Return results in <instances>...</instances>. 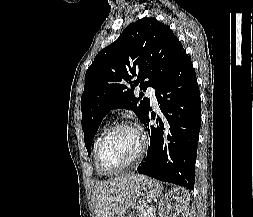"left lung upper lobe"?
Masks as SVG:
<instances>
[{
    "mask_svg": "<svg viewBox=\"0 0 253 217\" xmlns=\"http://www.w3.org/2000/svg\"><path fill=\"white\" fill-rule=\"evenodd\" d=\"M184 53L172 30L155 18L129 24L115 42L101 50L86 72L81 97L85 146L90 147L111 109L132 110L143 121L150 110V100L136 98L134 88L140 85L144 91L148 86L156 89Z\"/></svg>",
    "mask_w": 253,
    "mask_h": 217,
    "instance_id": "5c2ea615",
    "label": "left lung upper lobe"
}]
</instances>
